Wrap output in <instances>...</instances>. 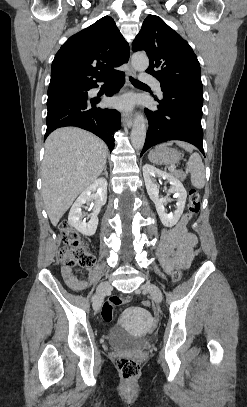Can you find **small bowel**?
Listing matches in <instances>:
<instances>
[{"instance_id": "c3829d8e", "label": "small bowel", "mask_w": 247, "mask_h": 407, "mask_svg": "<svg viewBox=\"0 0 247 407\" xmlns=\"http://www.w3.org/2000/svg\"><path fill=\"white\" fill-rule=\"evenodd\" d=\"M187 222L186 215H183L174 227L162 231L158 256L164 271L168 274L176 268H187L193 259L197 238L193 233L186 231ZM62 276L71 289L79 291L87 287L93 272L89 270L88 278L81 280L75 277L72 268L63 267Z\"/></svg>"}]
</instances>
